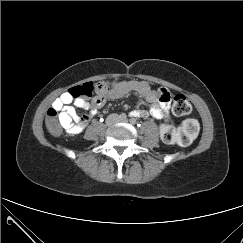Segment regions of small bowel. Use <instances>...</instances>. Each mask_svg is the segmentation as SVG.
<instances>
[{"label": "small bowel", "mask_w": 243, "mask_h": 243, "mask_svg": "<svg viewBox=\"0 0 243 243\" xmlns=\"http://www.w3.org/2000/svg\"><path fill=\"white\" fill-rule=\"evenodd\" d=\"M162 89L165 88L154 90L144 81L117 80L111 83L106 93L97 92L96 96L91 101L82 98H74L69 92H64L53 102L52 107L59 112V121L66 133L76 135L82 132L90 119L96 115L98 109L103 107L107 100L119 99L130 92H136L144 97L147 102L151 103V107L148 112L135 109L130 112L131 116L147 117L150 115L155 119H162L168 122L170 119L169 109L171 95H168L167 99L161 100L160 90ZM167 92L169 91L167 90ZM75 107L90 110L85 120L81 119Z\"/></svg>", "instance_id": "small-bowel-1"}]
</instances>
